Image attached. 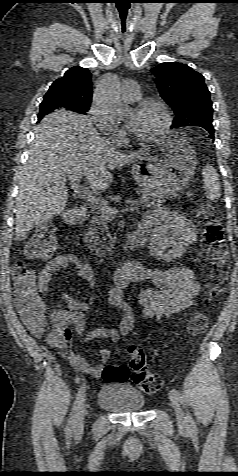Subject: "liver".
<instances>
[{"mask_svg":"<svg viewBox=\"0 0 238 476\" xmlns=\"http://www.w3.org/2000/svg\"><path fill=\"white\" fill-rule=\"evenodd\" d=\"M126 155L103 140L91 120L64 110L45 116L35 129L29 159L19 180L15 240L63 212L68 201L66 178L86 176L96 190L107 189L112 170L143 154Z\"/></svg>","mask_w":238,"mask_h":476,"instance_id":"6515ba94","label":"liver"}]
</instances>
